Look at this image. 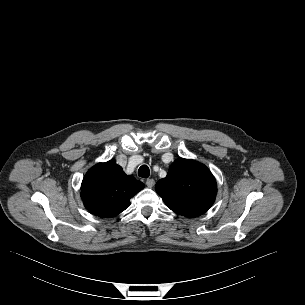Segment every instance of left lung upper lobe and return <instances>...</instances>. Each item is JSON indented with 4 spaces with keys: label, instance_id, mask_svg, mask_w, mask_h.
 Here are the masks:
<instances>
[{
    "label": "left lung upper lobe",
    "instance_id": "left-lung-upper-lobe-1",
    "mask_svg": "<svg viewBox=\"0 0 305 305\" xmlns=\"http://www.w3.org/2000/svg\"><path fill=\"white\" fill-rule=\"evenodd\" d=\"M155 190L174 212L197 217L212 206L217 187L205 165L180 158L171 164L167 176L156 183Z\"/></svg>",
    "mask_w": 305,
    "mask_h": 305
}]
</instances>
